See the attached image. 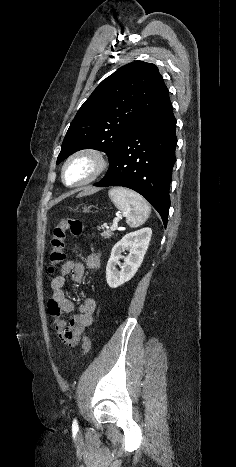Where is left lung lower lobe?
Instances as JSON below:
<instances>
[{
  "label": "left lung lower lobe",
  "mask_w": 236,
  "mask_h": 467,
  "mask_svg": "<svg viewBox=\"0 0 236 467\" xmlns=\"http://www.w3.org/2000/svg\"><path fill=\"white\" fill-rule=\"evenodd\" d=\"M176 144V119L167 93L126 134L106 175L94 186H123L138 192L158 211L166 227Z\"/></svg>",
  "instance_id": "1"
}]
</instances>
